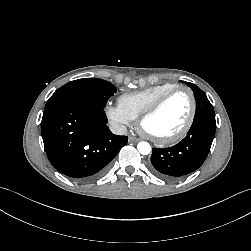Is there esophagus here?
Wrapping results in <instances>:
<instances>
[{"label":"esophagus","instance_id":"34e87169","mask_svg":"<svg viewBox=\"0 0 251 251\" xmlns=\"http://www.w3.org/2000/svg\"><path fill=\"white\" fill-rule=\"evenodd\" d=\"M139 140H140L139 138H136V137H134V136H130V137H129V142L136 143V142H138Z\"/></svg>","mask_w":251,"mask_h":251}]
</instances>
